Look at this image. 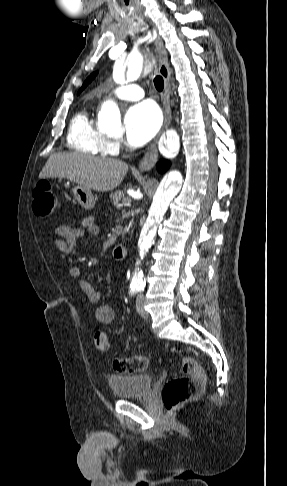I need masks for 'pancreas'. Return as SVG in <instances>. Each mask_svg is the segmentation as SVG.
I'll use <instances>...</instances> for the list:
<instances>
[{"instance_id":"obj_1","label":"pancreas","mask_w":287,"mask_h":486,"mask_svg":"<svg viewBox=\"0 0 287 486\" xmlns=\"http://www.w3.org/2000/svg\"><path fill=\"white\" fill-rule=\"evenodd\" d=\"M122 197H123V199H129V198H124V194L120 190H117V191L111 193V195H110L111 201L114 203V205H118V203L120 202V200L122 199ZM127 232H128V229L126 228L124 230L123 234H125Z\"/></svg>"}]
</instances>
